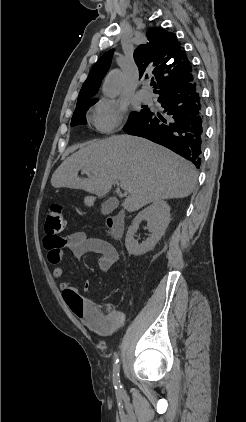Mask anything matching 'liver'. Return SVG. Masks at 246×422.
I'll use <instances>...</instances> for the list:
<instances>
[{
    "label": "liver",
    "mask_w": 246,
    "mask_h": 422,
    "mask_svg": "<svg viewBox=\"0 0 246 422\" xmlns=\"http://www.w3.org/2000/svg\"><path fill=\"white\" fill-rule=\"evenodd\" d=\"M80 170L89 177L80 178ZM196 178L195 167L169 149L140 137L117 135L85 143L56 169L51 185L102 197L120 181L128 193L122 206L134 212L151 202L189 196Z\"/></svg>",
    "instance_id": "6515ba94"
}]
</instances>
